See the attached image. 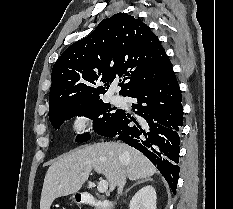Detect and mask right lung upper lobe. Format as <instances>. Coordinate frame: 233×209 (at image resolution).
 <instances>
[{"instance_id": "cb5924a9", "label": "right lung upper lobe", "mask_w": 233, "mask_h": 209, "mask_svg": "<svg viewBox=\"0 0 233 209\" xmlns=\"http://www.w3.org/2000/svg\"><path fill=\"white\" fill-rule=\"evenodd\" d=\"M157 36L139 19L117 13L69 46L53 66L49 113L100 99L116 78L127 96L156 81L171 66ZM104 83V85H101Z\"/></svg>"}]
</instances>
